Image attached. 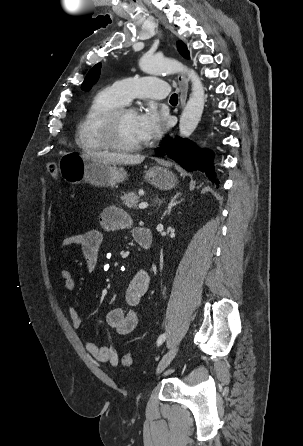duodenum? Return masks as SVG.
I'll list each match as a JSON object with an SVG mask.
<instances>
[{"label":"duodenum","mask_w":303,"mask_h":446,"mask_svg":"<svg viewBox=\"0 0 303 446\" xmlns=\"http://www.w3.org/2000/svg\"><path fill=\"white\" fill-rule=\"evenodd\" d=\"M136 242L144 249H150L152 245V234L148 228H140L135 235Z\"/></svg>","instance_id":"obj_1"}]
</instances>
